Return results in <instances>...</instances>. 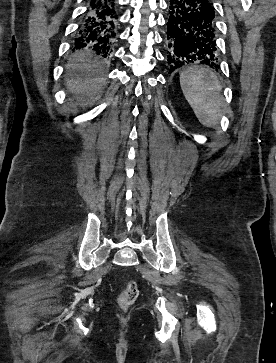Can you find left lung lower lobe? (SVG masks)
I'll list each match as a JSON object with an SVG mask.
<instances>
[{"label":"left lung lower lobe","instance_id":"1","mask_svg":"<svg viewBox=\"0 0 276 363\" xmlns=\"http://www.w3.org/2000/svg\"><path fill=\"white\" fill-rule=\"evenodd\" d=\"M166 33L169 73L188 64L218 70L216 21L209 0H170Z\"/></svg>","mask_w":276,"mask_h":363}]
</instances>
